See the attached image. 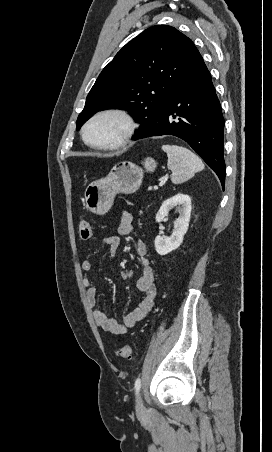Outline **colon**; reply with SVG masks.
<instances>
[{
    "label": "colon",
    "instance_id": "colon-1",
    "mask_svg": "<svg viewBox=\"0 0 272 452\" xmlns=\"http://www.w3.org/2000/svg\"><path fill=\"white\" fill-rule=\"evenodd\" d=\"M80 236L83 240H88L93 236L91 224L86 220L79 222ZM116 355L122 359L130 360L133 357V350L131 346L125 345L116 351Z\"/></svg>",
    "mask_w": 272,
    "mask_h": 452
}]
</instances>
